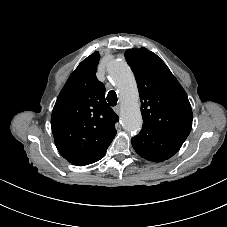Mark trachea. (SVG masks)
Segmentation results:
<instances>
[{"mask_svg": "<svg viewBox=\"0 0 227 227\" xmlns=\"http://www.w3.org/2000/svg\"><path fill=\"white\" fill-rule=\"evenodd\" d=\"M107 101H108L109 105H111V106L117 105L118 98H117V94L115 91L111 90L108 92Z\"/></svg>", "mask_w": 227, "mask_h": 227, "instance_id": "obj_1", "label": "trachea"}]
</instances>
